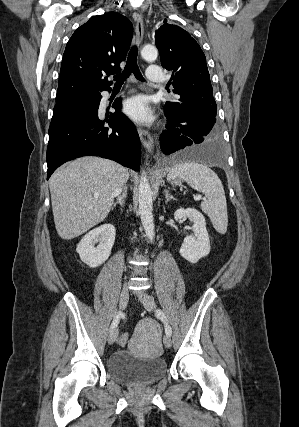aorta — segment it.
<instances>
[{
    "label": "aorta",
    "mask_w": 299,
    "mask_h": 427,
    "mask_svg": "<svg viewBox=\"0 0 299 427\" xmlns=\"http://www.w3.org/2000/svg\"><path fill=\"white\" fill-rule=\"evenodd\" d=\"M141 56L148 62L157 59L158 51L156 47L146 45L141 50ZM139 214L146 236L152 242L155 237V225L153 219V193L147 179L145 171L142 172L138 190Z\"/></svg>",
    "instance_id": "aorta-1"
}]
</instances>
